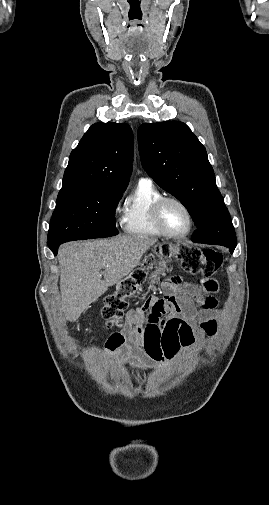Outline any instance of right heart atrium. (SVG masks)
Instances as JSON below:
<instances>
[{"instance_id": "d8ad5b80", "label": "right heart atrium", "mask_w": 269, "mask_h": 505, "mask_svg": "<svg viewBox=\"0 0 269 505\" xmlns=\"http://www.w3.org/2000/svg\"><path fill=\"white\" fill-rule=\"evenodd\" d=\"M119 208H120V202H118V203L116 204L115 210H116V211H119Z\"/></svg>"}]
</instances>
